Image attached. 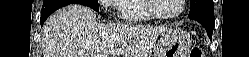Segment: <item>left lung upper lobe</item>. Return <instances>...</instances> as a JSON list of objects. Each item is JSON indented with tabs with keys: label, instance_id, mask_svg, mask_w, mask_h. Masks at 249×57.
Returning a JSON list of instances; mask_svg holds the SVG:
<instances>
[{
	"label": "left lung upper lobe",
	"instance_id": "left-lung-upper-lobe-1",
	"mask_svg": "<svg viewBox=\"0 0 249 57\" xmlns=\"http://www.w3.org/2000/svg\"><path fill=\"white\" fill-rule=\"evenodd\" d=\"M191 8L188 16L198 14H214L213 0H190Z\"/></svg>",
	"mask_w": 249,
	"mask_h": 57
}]
</instances>
